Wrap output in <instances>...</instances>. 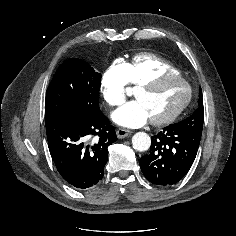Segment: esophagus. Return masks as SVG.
<instances>
[{"label": "esophagus", "instance_id": "1", "mask_svg": "<svg viewBox=\"0 0 236 236\" xmlns=\"http://www.w3.org/2000/svg\"><path fill=\"white\" fill-rule=\"evenodd\" d=\"M117 137L118 138H125L128 137L131 134V131L125 128H119L116 131Z\"/></svg>", "mask_w": 236, "mask_h": 236}]
</instances>
